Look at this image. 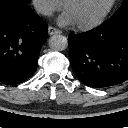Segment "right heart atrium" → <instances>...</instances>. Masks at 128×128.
I'll return each mask as SVG.
<instances>
[{"instance_id": "obj_1", "label": "right heart atrium", "mask_w": 128, "mask_h": 128, "mask_svg": "<svg viewBox=\"0 0 128 128\" xmlns=\"http://www.w3.org/2000/svg\"><path fill=\"white\" fill-rule=\"evenodd\" d=\"M36 10L43 16L49 17L59 11L63 2L61 0H32Z\"/></svg>"}]
</instances>
